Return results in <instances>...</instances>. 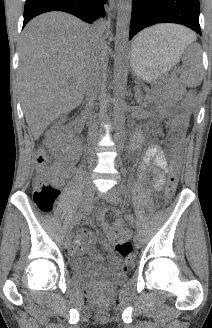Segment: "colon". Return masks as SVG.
Instances as JSON below:
<instances>
[{
	"mask_svg": "<svg viewBox=\"0 0 212 328\" xmlns=\"http://www.w3.org/2000/svg\"><path fill=\"white\" fill-rule=\"evenodd\" d=\"M193 95L190 94L186 99V104L189 105L193 101ZM181 136V131L178 132L177 138ZM174 167L168 178V182L165 189V201L170 202L174 196L177 183H178V172L177 165L179 160V151L174 150ZM35 175L33 178V200L36 207L42 213H50L53 209L56 199L59 196V188L48 181L52 178L53 171L48 166V160L46 152L40 149L35 156ZM116 252L127 259L128 261L134 260L132 253V244L129 240L123 239L117 242L115 246Z\"/></svg>",
	"mask_w": 212,
	"mask_h": 328,
	"instance_id": "1",
	"label": "colon"
}]
</instances>
